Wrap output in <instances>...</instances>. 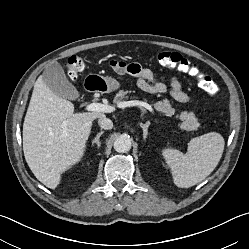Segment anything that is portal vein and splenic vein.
Here are the masks:
<instances>
[{"mask_svg":"<svg viewBox=\"0 0 249 249\" xmlns=\"http://www.w3.org/2000/svg\"><path fill=\"white\" fill-rule=\"evenodd\" d=\"M130 106H139L142 110H143V108H146L151 113H154V109L152 108V106L146 102L133 100V101L120 102L118 104L119 108H126V107H130ZM86 110L87 111H95V112H103V113H111V112L115 111V107L110 106V105L101 104V103H91V104H88L86 106Z\"/></svg>","mask_w":249,"mask_h":249,"instance_id":"1","label":"portal vein and splenic vein"}]
</instances>
